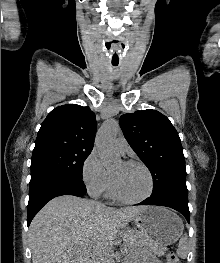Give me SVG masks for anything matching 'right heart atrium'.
Returning <instances> with one entry per match:
<instances>
[{
    "instance_id": "right-heart-atrium-1",
    "label": "right heart atrium",
    "mask_w": 220,
    "mask_h": 263,
    "mask_svg": "<svg viewBox=\"0 0 220 263\" xmlns=\"http://www.w3.org/2000/svg\"><path fill=\"white\" fill-rule=\"evenodd\" d=\"M81 178L91 195H99L110 186V174L103 166L97 152L91 151L85 158L81 168Z\"/></svg>"
}]
</instances>
